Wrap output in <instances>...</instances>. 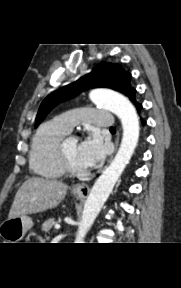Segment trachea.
Segmentation results:
<instances>
[{
  "label": "trachea",
  "instance_id": "obj_1",
  "mask_svg": "<svg viewBox=\"0 0 181 288\" xmlns=\"http://www.w3.org/2000/svg\"><path fill=\"white\" fill-rule=\"evenodd\" d=\"M110 130L115 131V128H114V127H111Z\"/></svg>",
  "mask_w": 181,
  "mask_h": 288
}]
</instances>
